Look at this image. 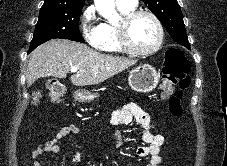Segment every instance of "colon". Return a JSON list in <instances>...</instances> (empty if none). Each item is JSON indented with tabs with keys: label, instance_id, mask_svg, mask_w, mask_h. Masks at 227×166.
I'll return each mask as SVG.
<instances>
[{
	"label": "colon",
	"instance_id": "obj_1",
	"mask_svg": "<svg viewBox=\"0 0 227 166\" xmlns=\"http://www.w3.org/2000/svg\"><path fill=\"white\" fill-rule=\"evenodd\" d=\"M189 72V62L180 49L172 48L167 51L164 69L163 81L161 85L163 98L169 99V111L173 116L182 114L181 93L174 91V86L180 84L186 88L190 79L187 76ZM50 99L53 102H59L67 93L66 87L55 79L48 82Z\"/></svg>",
	"mask_w": 227,
	"mask_h": 166
}]
</instances>
